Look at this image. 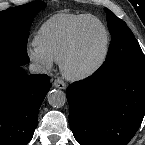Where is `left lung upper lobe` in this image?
Segmentation results:
<instances>
[{
	"label": "left lung upper lobe",
	"mask_w": 145,
	"mask_h": 145,
	"mask_svg": "<svg viewBox=\"0 0 145 145\" xmlns=\"http://www.w3.org/2000/svg\"><path fill=\"white\" fill-rule=\"evenodd\" d=\"M107 24L112 40L104 64L96 71L104 76L115 70L145 67V57L140 45L126 23L105 8Z\"/></svg>",
	"instance_id": "1"
}]
</instances>
